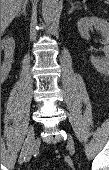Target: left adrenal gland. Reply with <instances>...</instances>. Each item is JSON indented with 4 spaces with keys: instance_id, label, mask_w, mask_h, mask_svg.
<instances>
[{
    "instance_id": "obj_1",
    "label": "left adrenal gland",
    "mask_w": 109,
    "mask_h": 170,
    "mask_svg": "<svg viewBox=\"0 0 109 170\" xmlns=\"http://www.w3.org/2000/svg\"><path fill=\"white\" fill-rule=\"evenodd\" d=\"M71 4V10L69 11V14H71L75 8H77L78 6H75V4L73 2H70Z\"/></svg>"
}]
</instances>
